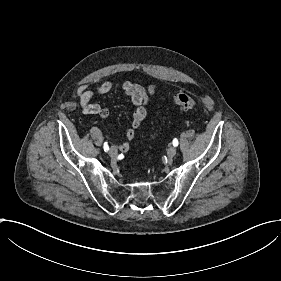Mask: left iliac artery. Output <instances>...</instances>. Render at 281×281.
<instances>
[{
    "mask_svg": "<svg viewBox=\"0 0 281 281\" xmlns=\"http://www.w3.org/2000/svg\"><path fill=\"white\" fill-rule=\"evenodd\" d=\"M173 145L176 147V146H178V140L175 138L174 140H173Z\"/></svg>",
    "mask_w": 281,
    "mask_h": 281,
    "instance_id": "left-iliac-artery-1",
    "label": "left iliac artery"
}]
</instances>
